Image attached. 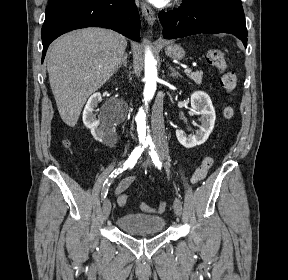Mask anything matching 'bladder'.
Segmentation results:
<instances>
[{"mask_svg":"<svg viewBox=\"0 0 288 280\" xmlns=\"http://www.w3.org/2000/svg\"><path fill=\"white\" fill-rule=\"evenodd\" d=\"M165 219L151 214H123L116 219L117 227L128 234L159 233L165 227Z\"/></svg>","mask_w":288,"mask_h":280,"instance_id":"31cf9c89","label":"bladder"}]
</instances>
